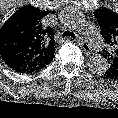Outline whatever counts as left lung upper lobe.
I'll list each match as a JSON object with an SVG mask.
<instances>
[{"label": "left lung upper lobe", "mask_w": 118, "mask_h": 118, "mask_svg": "<svg viewBox=\"0 0 118 118\" xmlns=\"http://www.w3.org/2000/svg\"><path fill=\"white\" fill-rule=\"evenodd\" d=\"M100 26V34L109 44L110 50H103V55L108 61V69L101 76L106 79L118 80V14L106 8L94 12Z\"/></svg>", "instance_id": "left-lung-upper-lobe-1"}]
</instances>
